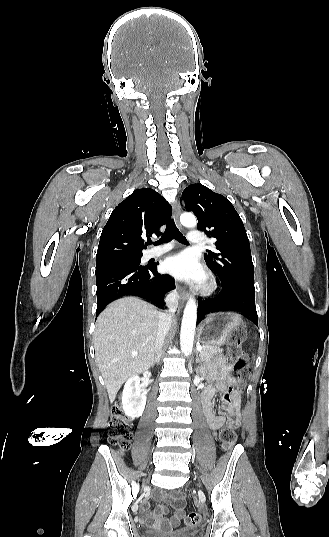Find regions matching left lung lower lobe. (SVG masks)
<instances>
[{"mask_svg": "<svg viewBox=\"0 0 329 537\" xmlns=\"http://www.w3.org/2000/svg\"><path fill=\"white\" fill-rule=\"evenodd\" d=\"M215 311L239 312L258 325L254 283L233 282L229 285H222V289L216 297L199 299L197 323L201 321L202 315Z\"/></svg>", "mask_w": 329, "mask_h": 537, "instance_id": "left-lung-lower-lobe-1", "label": "left lung lower lobe"}]
</instances>
